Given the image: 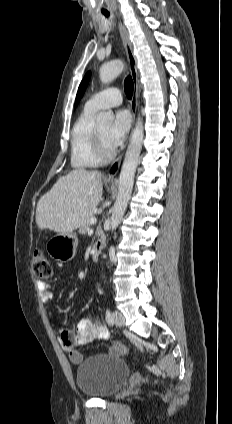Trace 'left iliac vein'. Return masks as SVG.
Returning a JSON list of instances; mask_svg holds the SVG:
<instances>
[{
    "label": "left iliac vein",
    "instance_id": "obj_1",
    "mask_svg": "<svg viewBox=\"0 0 232 424\" xmlns=\"http://www.w3.org/2000/svg\"><path fill=\"white\" fill-rule=\"evenodd\" d=\"M112 317H113V322L116 326H119V327L124 326L125 318L120 312L118 311L113 312Z\"/></svg>",
    "mask_w": 232,
    "mask_h": 424
}]
</instances>
